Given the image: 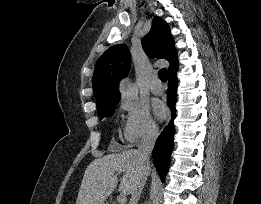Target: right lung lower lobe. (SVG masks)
Masks as SVG:
<instances>
[{
  "label": "right lung lower lobe",
  "mask_w": 261,
  "mask_h": 204,
  "mask_svg": "<svg viewBox=\"0 0 261 204\" xmlns=\"http://www.w3.org/2000/svg\"><path fill=\"white\" fill-rule=\"evenodd\" d=\"M177 67L172 71L168 72V94H167V105L171 110V120L167 127L164 128L161 135L158 137L155 147L153 149V161L158 173L162 180L168 171L171 151L174 147L173 135L175 133L174 128V118L176 115L175 103H176V88H177V77H176Z\"/></svg>",
  "instance_id": "obj_1"
}]
</instances>
